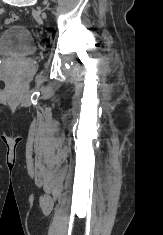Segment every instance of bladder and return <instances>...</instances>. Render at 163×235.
Listing matches in <instances>:
<instances>
[{"label": "bladder", "mask_w": 163, "mask_h": 235, "mask_svg": "<svg viewBox=\"0 0 163 235\" xmlns=\"http://www.w3.org/2000/svg\"><path fill=\"white\" fill-rule=\"evenodd\" d=\"M30 31L22 25H12L0 33V55L26 58L36 53Z\"/></svg>", "instance_id": "obj_1"}]
</instances>
